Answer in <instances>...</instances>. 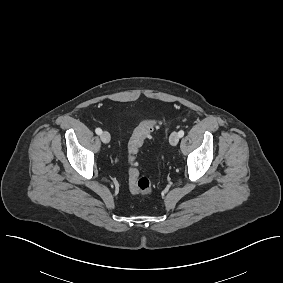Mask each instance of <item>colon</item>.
<instances>
[{
	"label": "colon",
	"instance_id": "obj_1",
	"mask_svg": "<svg viewBox=\"0 0 283 283\" xmlns=\"http://www.w3.org/2000/svg\"><path fill=\"white\" fill-rule=\"evenodd\" d=\"M156 119L144 120L133 131L127 145L128 180L132 193L149 195L153 186L147 177H141L137 168V154L144 141L159 127Z\"/></svg>",
	"mask_w": 283,
	"mask_h": 283
}]
</instances>
